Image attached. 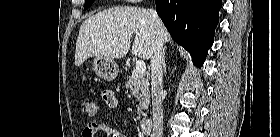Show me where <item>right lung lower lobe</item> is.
I'll return each instance as SVG.
<instances>
[{"label": "right lung lower lobe", "mask_w": 280, "mask_h": 137, "mask_svg": "<svg viewBox=\"0 0 280 137\" xmlns=\"http://www.w3.org/2000/svg\"><path fill=\"white\" fill-rule=\"evenodd\" d=\"M172 38L201 66L214 41L222 0H155Z\"/></svg>", "instance_id": "1"}]
</instances>
